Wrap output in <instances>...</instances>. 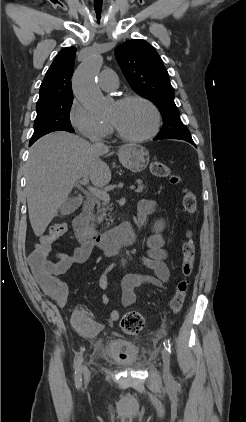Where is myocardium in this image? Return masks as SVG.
<instances>
[{
  "instance_id": "f54148a6",
  "label": "myocardium",
  "mask_w": 246,
  "mask_h": 422,
  "mask_svg": "<svg viewBox=\"0 0 246 422\" xmlns=\"http://www.w3.org/2000/svg\"><path fill=\"white\" fill-rule=\"evenodd\" d=\"M131 102H141L145 105H147L151 111L153 112L154 115V123L153 126L151 128V130L149 132H147L146 134L140 135V136H133V135H129L125 132H123L122 130H120L115 124H113L112 122L110 123L112 128L114 129V131L116 132L117 136L125 141H129V142H144L146 140H149L151 138H153L160 129L161 126V113L158 109V107L148 98L144 97V96H140V95H127L124 97H121L120 99L117 100V104L119 105H124V104H128Z\"/></svg>"
}]
</instances>
